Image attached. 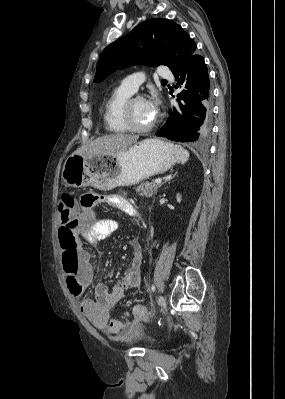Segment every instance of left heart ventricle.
Masks as SVG:
<instances>
[{"label": "left heart ventricle", "mask_w": 285, "mask_h": 399, "mask_svg": "<svg viewBox=\"0 0 285 399\" xmlns=\"http://www.w3.org/2000/svg\"><path fill=\"white\" fill-rule=\"evenodd\" d=\"M132 115L135 125L140 127L147 126L154 121L144 100H136L133 103Z\"/></svg>", "instance_id": "1"}]
</instances>
